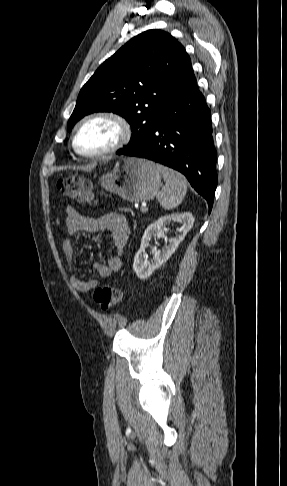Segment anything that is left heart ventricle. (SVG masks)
Wrapping results in <instances>:
<instances>
[{"label":"left heart ventricle","mask_w":287,"mask_h":486,"mask_svg":"<svg viewBox=\"0 0 287 486\" xmlns=\"http://www.w3.org/2000/svg\"><path fill=\"white\" fill-rule=\"evenodd\" d=\"M117 128L106 120H96L84 126L77 136V146L83 152H96L112 145L117 138Z\"/></svg>","instance_id":"1"}]
</instances>
